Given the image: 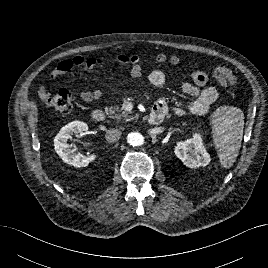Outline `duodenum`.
Wrapping results in <instances>:
<instances>
[{
	"mask_svg": "<svg viewBox=\"0 0 268 268\" xmlns=\"http://www.w3.org/2000/svg\"><path fill=\"white\" fill-rule=\"evenodd\" d=\"M164 116H165V114L163 112L152 111L147 118V123L149 125H157L162 121ZM104 119H105V115H104V112L102 110L98 109V110L94 111L93 120L95 122L100 123V122H103Z\"/></svg>",
	"mask_w": 268,
	"mask_h": 268,
	"instance_id": "410a0bca",
	"label": "duodenum"
}]
</instances>
